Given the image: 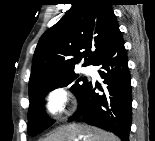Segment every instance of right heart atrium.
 I'll list each match as a JSON object with an SVG mask.
<instances>
[{
	"mask_svg": "<svg viewBox=\"0 0 155 141\" xmlns=\"http://www.w3.org/2000/svg\"><path fill=\"white\" fill-rule=\"evenodd\" d=\"M71 96L62 88H54L47 94L46 109L53 118L67 114L70 108Z\"/></svg>",
	"mask_w": 155,
	"mask_h": 141,
	"instance_id": "d8ad5b80",
	"label": "right heart atrium"
}]
</instances>
